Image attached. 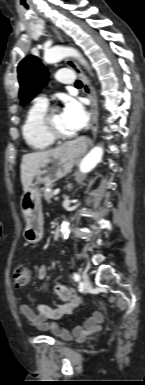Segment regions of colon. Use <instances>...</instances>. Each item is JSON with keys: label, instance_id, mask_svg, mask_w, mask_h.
<instances>
[{"label": "colon", "instance_id": "5ec220e1", "mask_svg": "<svg viewBox=\"0 0 145 385\" xmlns=\"http://www.w3.org/2000/svg\"><path fill=\"white\" fill-rule=\"evenodd\" d=\"M31 279V271L29 267L24 264H19L14 269L13 280L14 286L17 289H24L27 287Z\"/></svg>", "mask_w": 145, "mask_h": 385}]
</instances>
